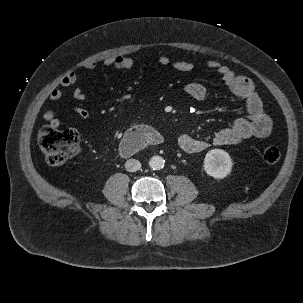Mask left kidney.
Here are the masks:
<instances>
[{
    "mask_svg": "<svg viewBox=\"0 0 303 303\" xmlns=\"http://www.w3.org/2000/svg\"><path fill=\"white\" fill-rule=\"evenodd\" d=\"M232 165L230 155L221 149L210 150L204 159L205 172L215 179L227 177L231 172Z\"/></svg>",
    "mask_w": 303,
    "mask_h": 303,
    "instance_id": "left-kidney-1",
    "label": "left kidney"
}]
</instances>
